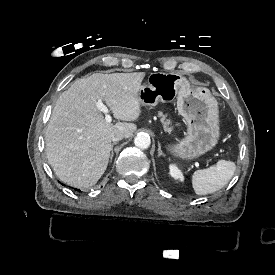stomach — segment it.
Instances as JSON below:
<instances>
[{
    "mask_svg": "<svg viewBox=\"0 0 275 275\" xmlns=\"http://www.w3.org/2000/svg\"><path fill=\"white\" fill-rule=\"evenodd\" d=\"M142 106L154 107L177 98V109L187 122L185 138L169 144L167 150L183 159L197 158L211 150L219 138L218 101L206 87L190 85L178 72H155L137 93Z\"/></svg>",
    "mask_w": 275,
    "mask_h": 275,
    "instance_id": "obj_1",
    "label": "stomach"
}]
</instances>
